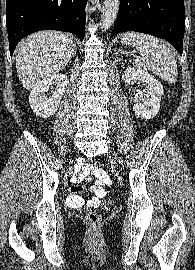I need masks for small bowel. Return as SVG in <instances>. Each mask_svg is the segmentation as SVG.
Wrapping results in <instances>:
<instances>
[{"instance_id": "small-bowel-1", "label": "small bowel", "mask_w": 195, "mask_h": 270, "mask_svg": "<svg viewBox=\"0 0 195 270\" xmlns=\"http://www.w3.org/2000/svg\"><path fill=\"white\" fill-rule=\"evenodd\" d=\"M90 175L97 177V180L90 188L92 196L88 200H85L81 196L83 187L80 185H74L70 188V194L66 199V204L68 206L72 208L99 206L100 200L106 196L105 187L111 185L112 181L103 169L92 164H87L83 160H79L76 166V179L81 180L85 178L86 181H90Z\"/></svg>"}]
</instances>
